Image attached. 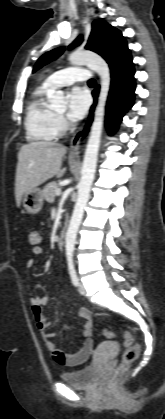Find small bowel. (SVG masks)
<instances>
[{"instance_id":"obj_1","label":"small bowel","mask_w":165,"mask_h":419,"mask_svg":"<svg viewBox=\"0 0 165 419\" xmlns=\"http://www.w3.org/2000/svg\"><path fill=\"white\" fill-rule=\"evenodd\" d=\"M32 235L37 236L36 242L31 241ZM28 238H29V242L32 244V249H31L32 254L34 256H40L43 253V249L39 245L40 237H39L38 232L34 230L29 231ZM34 264H35V260L31 258L27 261L26 266L28 268H31L34 266ZM54 290L58 296L62 298L66 297L64 291L60 288L57 282L54 284ZM29 302L32 308V313H33L34 320L36 322V326L39 329V331L42 333L44 343L47 349L51 352L52 357L55 360V362L64 366H76V365H80L86 362L95 348L94 340L91 337L92 319H91V313L89 309H87L86 307H80L78 309V316L85 321V324L81 333V339L83 341L82 346L75 352L66 353L57 347V345L53 341V335L46 332V329L49 327L50 322L46 320L44 313L42 311V308L43 306L47 304L48 297L45 295L34 296L30 298Z\"/></svg>"}]
</instances>
